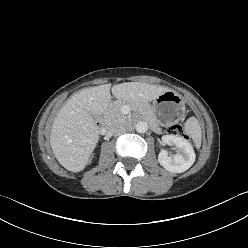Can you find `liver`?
Returning <instances> with one entry per match:
<instances>
[{"label": "liver", "instance_id": "obj_1", "mask_svg": "<svg viewBox=\"0 0 248 248\" xmlns=\"http://www.w3.org/2000/svg\"><path fill=\"white\" fill-rule=\"evenodd\" d=\"M111 84L90 87L72 95L58 112L50 133V145L58 162L68 171H82L99 140L92 115H102L111 103ZM167 88L141 82L112 87L113 96L130 104L156 99Z\"/></svg>", "mask_w": 248, "mask_h": 248}]
</instances>
